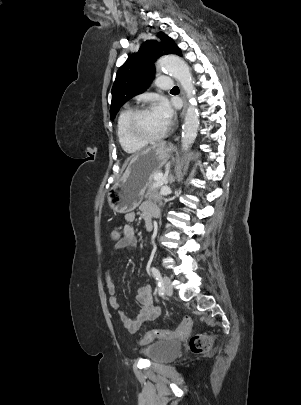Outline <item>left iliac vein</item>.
<instances>
[{"mask_svg": "<svg viewBox=\"0 0 301 405\" xmlns=\"http://www.w3.org/2000/svg\"><path fill=\"white\" fill-rule=\"evenodd\" d=\"M163 288L166 295L171 296L173 294V287L171 284V279L168 276L162 278Z\"/></svg>", "mask_w": 301, "mask_h": 405, "instance_id": "4c4485c4", "label": "left iliac vein"}]
</instances>
